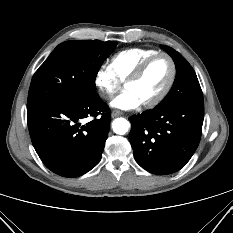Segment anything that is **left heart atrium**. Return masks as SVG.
<instances>
[{
    "label": "left heart atrium",
    "mask_w": 233,
    "mask_h": 233,
    "mask_svg": "<svg viewBox=\"0 0 233 233\" xmlns=\"http://www.w3.org/2000/svg\"><path fill=\"white\" fill-rule=\"evenodd\" d=\"M142 103L134 93L124 90L121 94L115 97L111 106L120 110H133L139 107Z\"/></svg>",
    "instance_id": "left-heart-atrium-1"
}]
</instances>
